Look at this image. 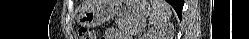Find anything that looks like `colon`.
<instances>
[{
  "label": "colon",
  "mask_w": 249,
  "mask_h": 39,
  "mask_svg": "<svg viewBox=\"0 0 249 39\" xmlns=\"http://www.w3.org/2000/svg\"><path fill=\"white\" fill-rule=\"evenodd\" d=\"M78 35L80 39H94V36L85 27L79 29Z\"/></svg>",
  "instance_id": "obj_1"
}]
</instances>
